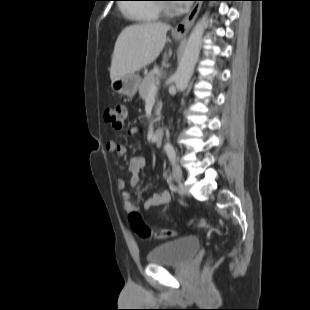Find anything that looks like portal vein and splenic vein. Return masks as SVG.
I'll return each mask as SVG.
<instances>
[{
	"instance_id": "18ae733b",
	"label": "portal vein and splenic vein",
	"mask_w": 310,
	"mask_h": 310,
	"mask_svg": "<svg viewBox=\"0 0 310 310\" xmlns=\"http://www.w3.org/2000/svg\"><path fill=\"white\" fill-rule=\"evenodd\" d=\"M157 90H158V88H157V86L154 84V85H152L151 87H150V89H149V97H154L155 95H156V93H157Z\"/></svg>"
}]
</instances>
